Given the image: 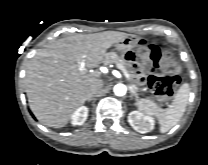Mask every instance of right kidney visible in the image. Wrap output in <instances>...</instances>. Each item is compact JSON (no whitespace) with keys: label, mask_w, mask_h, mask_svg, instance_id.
<instances>
[{"label":"right kidney","mask_w":208,"mask_h":165,"mask_svg":"<svg viewBox=\"0 0 208 165\" xmlns=\"http://www.w3.org/2000/svg\"><path fill=\"white\" fill-rule=\"evenodd\" d=\"M88 116V108L85 106L79 107L71 116V124L72 125H82Z\"/></svg>","instance_id":"right-kidney-1"}]
</instances>
